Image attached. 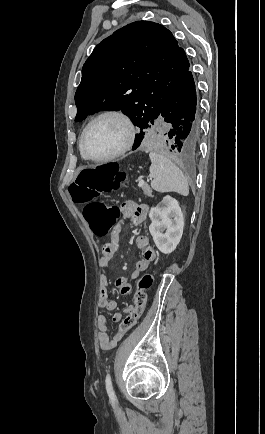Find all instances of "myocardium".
Wrapping results in <instances>:
<instances>
[{
    "instance_id": "myocardium-1",
    "label": "myocardium",
    "mask_w": 265,
    "mask_h": 434,
    "mask_svg": "<svg viewBox=\"0 0 265 434\" xmlns=\"http://www.w3.org/2000/svg\"><path fill=\"white\" fill-rule=\"evenodd\" d=\"M106 117H116L120 120H122L126 126V139L124 144L117 150L115 151L113 154L104 157V158H92L90 156H88L85 151H84V141L85 138L89 132V130L91 129V127L97 123L99 120L106 118ZM136 127L135 124L132 120V118L123 110L120 109H107L104 110L100 113H98L97 115H95L85 126L80 139H79V153L81 155V157L89 162V163H94V164H103V163H107L110 161H113L121 156H123L126 152H128L132 146L134 145L135 139H136Z\"/></svg>"
}]
</instances>
